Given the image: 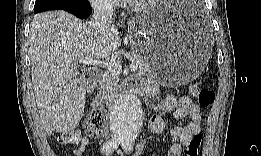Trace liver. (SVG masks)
<instances>
[{"instance_id":"obj_1","label":"liver","mask_w":261,"mask_h":156,"mask_svg":"<svg viewBox=\"0 0 261 156\" xmlns=\"http://www.w3.org/2000/svg\"><path fill=\"white\" fill-rule=\"evenodd\" d=\"M28 42L32 84L44 129L47 135L69 131L84 111L82 95L66 85L79 75L75 63L80 58L109 57L121 44L119 32L114 24L97 31L90 22L55 10L33 17ZM69 93L75 98V116L70 124H60L56 113Z\"/></svg>"}]
</instances>
